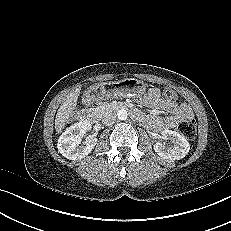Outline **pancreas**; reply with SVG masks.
Listing matches in <instances>:
<instances>
[{
  "label": "pancreas",
  "mask_w": 231,
  "mask_h": 231,
  "mask_svg": "<svg viewBox=\"0 0 231 231\" xmlns=\"http://www.w3.org/2000/svg\"><path fill=\"white\" fill-rule=\"evenodd\" d=\"M114 108H116V105L112 104V103H104L99 107L101 112L109 111V110H112Z\"/></svg>",
  "instance_id": "obj_1"
}]
</instances>
